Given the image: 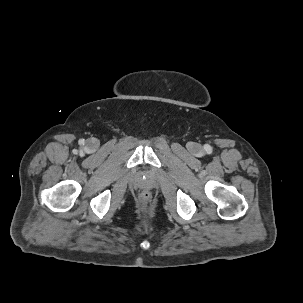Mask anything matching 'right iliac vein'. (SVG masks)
Wrapping results in <instances>:
<instances>
[{
  "mask_svg": "<svg viewBox=\"0 0 303 303\" xmlns=\"http://www.w3.org/2000/svg\"><path fill=\"white\" fill-rule=\"evenodd\" d=\"M89 145L93 148L97 146L96 142H94V141H90Z\"/></svg>",
  "mask_w": 303,
  "mask_h": 303,
  "instance_id": "obj_1",
  "label": "right iliac vein"
}]
</instances>
